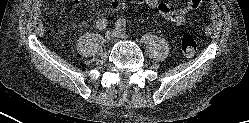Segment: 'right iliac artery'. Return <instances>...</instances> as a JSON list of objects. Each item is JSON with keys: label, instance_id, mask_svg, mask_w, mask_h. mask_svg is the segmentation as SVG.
Wrapping results in <instances>:
<instances>
[{"label": "right iliac artery", "instance_id": "right-iliac-artery-1", "mask_svg": "<svg viewBox=\"0 0 249 123\" xmlns=\"http://www.w3.org/2000/svg\"><path fill=\"white\" fill-rule=\"evenodd\" d=\"M107 26V20L102 18V19H99L97 22H96V27L98 29H105Z\"/></svg>", "mask_w": 249, "mask_h": 123}]
</instances>
